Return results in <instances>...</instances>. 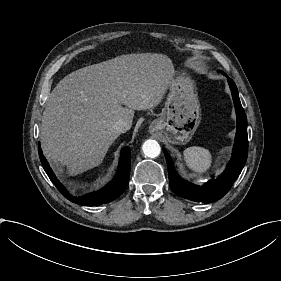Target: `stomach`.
I'll return each instance as SVG.
<instances>
[{
    "label": "stomach",
    "instance_id": "1",
    "mask_svg": "<svg viewBox=\"0 0 281 281\" xmlns=\"http://www.w3.org/2000/svg\"><path fill=\"white\" fill-rule=\"evenodd\" d=\"M160 118L149 127L151 133L163 134V140L173 144L187 143L201 120L200 103L194 80L185 73L174 77Z\"/></svg>",
    "mask_w": 281,
    "mask_h": 281
}]
</instances>
